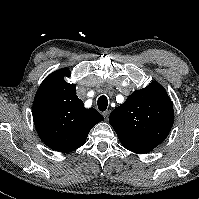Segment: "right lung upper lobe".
<instances>
[{
    "label": "right lung upper lobe",
    "instance_id": "1",
    "mask_svg": "<svg viewBox=\"0 0 199 199\" xmlns=\"http://www.w3.org/2000/svg\"><path fill=\"white\" fill-rule=\"evenodd\" d=\"M68 68L59 69L41 83L33 102V120L40 139L52 150L70 152L81 147L104 117L86 109L76 95V85L65 81Z\"/></svg>",
    "mask_w": 199,
    "mask_h": 199
}]
</instances>
